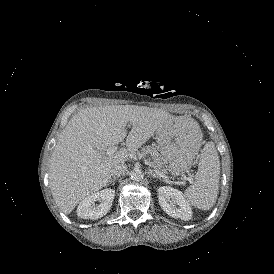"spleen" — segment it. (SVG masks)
Masks as SVG:
<instances>
[{
  "instance_id": "spleen-1",
  "label": "spleen",
  "mask_w": 274,
  "mask_h": 274,
  "mask_svg": "<svg viewBox=\"0 0 274 274\" xmlns=\"http://www.w3.org/2000/svg\"><path fill=\"white\" fill-rule=\"evenodd\" d=\"M202 134H198V141L201 142ZM196 150V146L192 151ZM220 178V160L213 142H208L201 153L198 165V172L195 175L194 183L189 186L184 197L187 202L202 210L210 209L217 200Z\"/></svg>"
}]
</instances>
